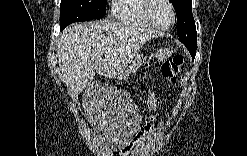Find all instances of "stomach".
I'll list each match as a JSON object with an SVG mask.
<instances>
[{"mask_svg":"<svg viewBox=\"0 0 247 156\" xmlns=\"http://www.w3.org/2000/svg\"><path fill=\"white\" fill-rule=\"evenodd\" d=\"M170 56V51L168 49H160L156 53L152 54V57L160 62L164 61L167 57ZM144 59L141 57H136L127 67L125 72L121 75H119V78H126L128 77L131 73H134L143 63Z\"/></svg>","mask_w":247,"mask_h":156,"instance_id":"obj_1","label":"stomach"}]
</instances>
